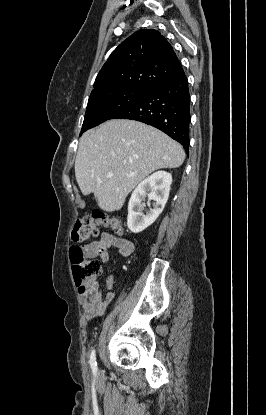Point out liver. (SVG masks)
I'll list each match as a JSON object with an SVG mask.
<instances>
[{"label":"liver","mask_w":266,"mask_h":415,"mask_svg":"<svg viewBox=\"0 0 266 415\" xmlns=\"http://www.w3.org/2000/svg\"><path fill=\"white\" fill-rule=\"evenodd\" d=\"M184 159L182 146L162 131L138 121L114 119L81 136L75 176L83 195L93 193L102 210L113 212L150 173L180 167Z\"/></svg>","instance_id":"6515ba94"}]
</instances>
